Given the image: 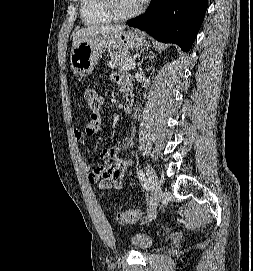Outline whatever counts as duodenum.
I'll return each instance as SVG.
<instances>
[{
  "instance_id": "1",
  "label": "duodenum",
  "mask_w": 253,
  "mask_h": 271,
  "mask_svg": "<svg viewBox=\"0 0 253 271\" xmlns=\"http://www.w3.org/2000/svg\"><path fill=\"white\" fill-rule=\"evenodd\" d=\"M134 107V94L132 91L125 92V99L123 105V111L125 113H130Z\"/></svg>"
}]
</instances>
